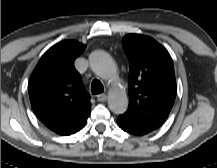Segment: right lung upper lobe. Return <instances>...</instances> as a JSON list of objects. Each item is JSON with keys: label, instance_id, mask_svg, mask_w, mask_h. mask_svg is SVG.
Instances as JSON below:
<instances>
[{"label": "right lung upper lobe", "instance_id": "cb5924a9", "mask_svg": "<svg viewBox=\"0 0 217 168\" xmlns=\"http://www.w3.org/2000/svg\"><path fill=\"white\" fill-rule=\"evenodd\" d=\"M85 48L74 40L55 44L41 57L29 80V97L36 116L59 135L79 131L91 112L90 96L74 67Z\"/></svg>", "mask_w": 217, "mask_h": 168}]
</instances>
